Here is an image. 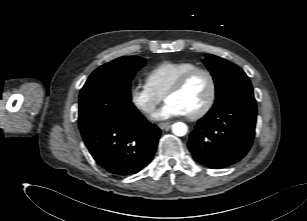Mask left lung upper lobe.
I'll return each mask as SVG.
<instances>
[{
    "label": "left lung upper lobe",
    "instance_id": "1",
    "mask_svg": "<svg viewBox=\"0 0 307 221\" xmlns=\"http://www.w3.org/2000/svg\"><path fill=\"white\" fill-rule=\"evenodd\" d=\"M204 62L216 87V101L212 109L237 98H254L251 82L241 68L215 55H206Z\"/></svg>",
    "mask_w": 307,
    "mask_h": 221
}]
</instances>
